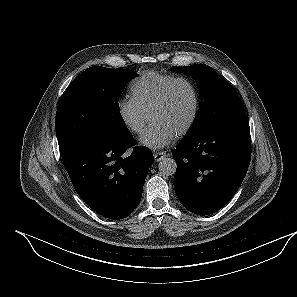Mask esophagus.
Instances as JSON below:
<instances>
[{"mask_svg":"<svg viewBox=\"0 0 297 297\" xmlns=\"http://www.w3.org/2000/svg\"><path fill=\"white\" fill-rule=\"evenodd\" d=\"M164 157H166V152L164 151L154 153V160L156 162L161 161Z\"/></svg>","mask_w":297,"mask_h":297,"instance_id":"34e87169","label":"esophagus"}]
</instances>
